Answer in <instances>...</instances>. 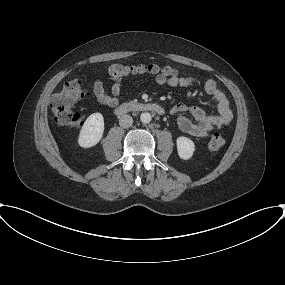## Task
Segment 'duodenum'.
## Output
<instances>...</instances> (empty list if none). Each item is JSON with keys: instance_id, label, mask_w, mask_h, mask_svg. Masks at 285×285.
Masks as SVG:
<instances>
[{"instance_id": "1", "label": "duodenum", "mask_w": 285, "mask_h": 285, "mask_svg": "<svg viewBox=\"0 0 285 285\" xmlns=\"http://www.w3.org/2000/svg\"><path fill=\"white\" fill-rule=\"evenodd\" d=\"M117 115H124L130 112H152L157 115H163L165 109L157 103H145V102H135V103H124L115 109Z\"/></svg>"}]
</instances>
